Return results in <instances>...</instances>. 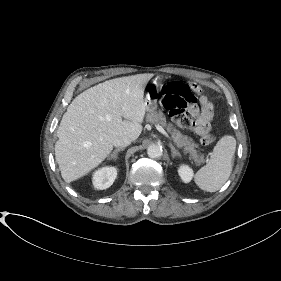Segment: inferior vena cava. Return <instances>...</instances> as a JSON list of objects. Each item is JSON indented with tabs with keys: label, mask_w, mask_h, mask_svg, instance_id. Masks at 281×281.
<instances>
[{
	"label": "inferior vena cava",
	"mask_w": 281,
	"mask_h": 281,
	"mask_svg": "<svg viewBox=\"0 0 281 281\" xmlns=\"http://www.w3.org/2000/svg\"><path fill=\"white\" fill-rule=\"evenodd\" d=\"M131 142L132 141H131V139L129 137H127V136H120V137H117V138L114 139L113 145L115 147L122 148V147L128 146Z\"/></svg>",
	"instance_id": "602c4592"
}]
</instances>
